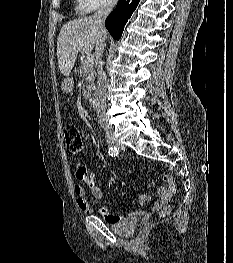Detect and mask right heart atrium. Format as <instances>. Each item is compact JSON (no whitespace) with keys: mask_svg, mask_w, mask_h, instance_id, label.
I'll list each match as a JSON object with an SVG mask.
<instances>
[{"mask_svg":"<svg viewBox=\"0 0 233 263\" xmlns=\"http://www.w3.org/2000/svg\"><path fill=\"white\" fill-rule=\"evenodd\" d=\"M117 0H77V7L83 13L91 12L104 6H112Z\"/></svg>","mask_w":233,"mask_h":263,"instance_id":"1","label":"right heart atrium"}]
</instances>
